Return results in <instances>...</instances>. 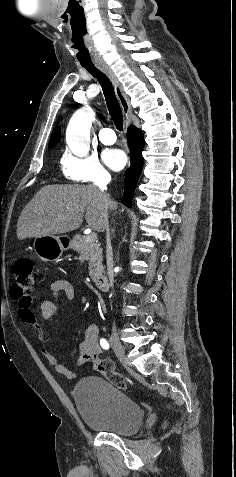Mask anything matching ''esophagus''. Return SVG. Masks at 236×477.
Instances as JSON below:
<instances>
[{"mask_svg": "<svg viewBox=\"0 0 236 477\" xmlns=\"http://www.w3.org/2000/svg\"><path fill=\"white\" fill-rule=\"evenodd\" d=\"M98 67L104 73H106V75L110 78V80H111V82L114 86V90H115L117 99H118V101L120 103V106L122 108V112L124 114L125 124H126V126H129L131 124V119H130L131 106H130V103H129V99L127 98V96L125 95V93L123 91L122 85L120 84L118 78L115 76L114 72L107 65L98 64Z\"/></svg>", "mask_w": 236, "mask_h": 477, "instance_id": "esophagus-1", "label": "esophagus"}]
</instances>
